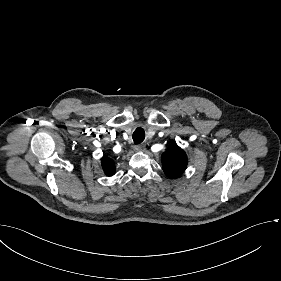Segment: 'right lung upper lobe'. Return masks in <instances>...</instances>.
<instances>
[{
	"instance_id": "right-lung-upper-lobe-1",
	"label": "right lung upper lobe",
	"mask_w": 281,
	"mask_h": 281,
	"mask_svg": "<svg viewBox=\"0 0 281 281\" xmlns=\"http://www.w3.org/2000/svg\"><path fill=\"white\" fill-rule=\"evenodd\" d=\"M102 167L107 176H112L115 173V163L108 156L102 158Z\"/></svg>"
}]
</instances>
